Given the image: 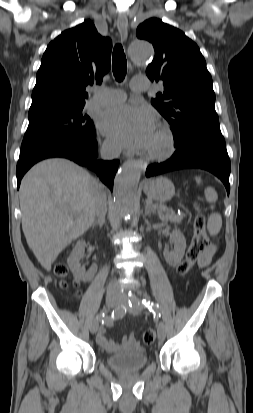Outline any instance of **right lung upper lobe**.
Returning <instances> with one entry per match:
<instances>
[{
  "instance_id": "cb5924a9",
  "label": "right lung upper lobe",
  "mask_w": 253,
  "mask_h": 413,
  "mask_svg": "<svg viewBox=\"0 0 253 413\" xmlns=\"http://www.w3.org/2000/svg\"><path fill=\"white\" fill-rule=\"evenodd\" d=\"M111 49L90 20L61 33L43 54L29 112L85 104V88L110 70Z\"/></svg>"
}]
</instances>
